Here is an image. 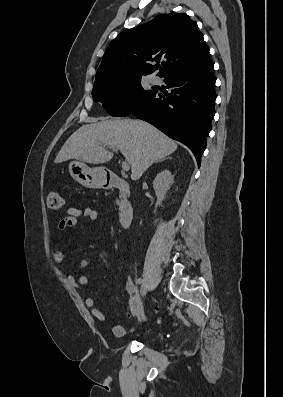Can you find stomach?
Segmentation results:
<instances>
[{"label":"stomach","mask_w":283,"mask_h":397,"mask_svg":"<svg viewBox=\"0 0 283 397\" xmlns=\"http://www.w3.org/2000/svg\"><path fill=\"white\" fill-rule=\"evenodd\" d=\"M68 170L77 182L87 188H103L105 185V170L102 167L90 168L84 162L72 161Z\"/></svg>","instance_id":"obj_1"}]
</instances>
